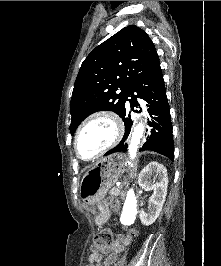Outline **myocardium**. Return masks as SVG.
Listing matches in <instances>:
<instances>
[{"label":"myocardium","mask_w":221,"mask_h":266,"mask_svg":"<svg viewBox=\"0 0 221 266\" xmlns=\"http://www.w3.org/2000/svg\"><path fill=\"white\" fill-rule=\"evenodd\" d=\"M99 117H105V118H108L112 121V123L115 127V135H114L112 141L108 145H106L103 149H101L97 154H95L92 157L86 158V157L82 156V154L79 151L78 140H79V137H80L83 129L86 127V125L88 123H90L92 120L99 118ZM123 134H124V124H123V121L121 120V118L116 113L109 111V110H102V111L94 112L93 114L88 116L83 121V123L81 124V126L77 130V133H76L75 139H74L75 152H76L77 156L84 161L95 160V159L99 158L101 155H103L105 152H107L109 149L114 147L120 141Z\"/></svg>","instance_id":"f54148a6"}]
</instances>
